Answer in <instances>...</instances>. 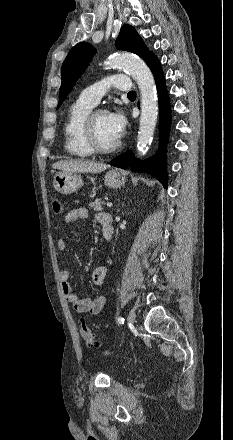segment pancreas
I'll use <instances>...</instances> for the list:
<instances>
[{"mask_svg":"<svg viewBox=\"0 0 233 440\" xmlns=\"http://www.w3.org/2000/svg\"><path fill=\"white\" fill-rule=\"evenodd\" d=\"M103 204H104V201H102L101 199H96L94 202H91L89 204V207L92 208L94 211H102Z\"/></svg>","mask_w":233,"mask_h":440,"instance_id":"obj_1","label":"pancreas"}]
</instances>
